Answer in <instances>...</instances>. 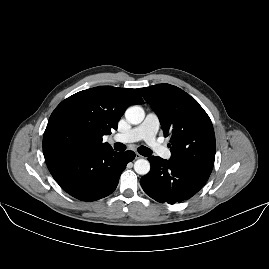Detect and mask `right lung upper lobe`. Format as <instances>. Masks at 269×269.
<instances>
[{
	"label": "right lung upper lobe",
	"instance_id": "right-lung-upper-lobe-1",
	"mask_svg": "<svg viewBox=\"0 0 269 269\" xmlns=\"http://www.w3.org/2000/svg\"><path fill=\"white\" fill-rule=\"evenodd\" d=\"M144 103L134 89L102 86L80 91L62 101L51 114L43 137L45 159L91 148H111L103 136L132 104Z\"/></svg>",
	"mask_w": 269,
	"mask_h": 269
}]
</instances>
